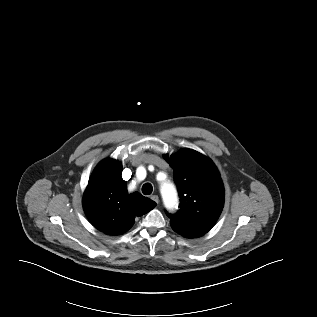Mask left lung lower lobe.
Returning a JSON list of instances; mask_svg holds the SVG:
<instances>
[{
    "mask_svg": "<svg viewBox=\"0 0 317 317\" xmlns=\"http://www.w3.org/2000/svg\"><path fill=\"white\" fill-rule=\"evenodd\" d=\"M210 229H200V228H194L189 226H178L177 231L182 236H185L187 238H194L199 237L207 233Z\"/></svg>",
    "mask_w": 317,
    "mask_h": 317,
    "instance_id": "obj_1",
    "label": "left lung lower lobe"
}]
</instances>
